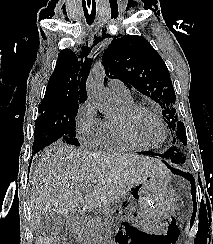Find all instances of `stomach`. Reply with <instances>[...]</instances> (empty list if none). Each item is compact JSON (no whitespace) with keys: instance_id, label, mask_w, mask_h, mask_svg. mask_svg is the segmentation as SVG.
Masks as SVG:
<instances>
[{"instance_id":"1","label":"stomach","mask_w":213,"mask_h":244,"mask_svg":"<svg viewBox=\"0 0 213 244\" xmlns=\"http://www.w3.org/2000/svg\"><path fill=\"white\" fill-rule=\"evenodd\" d=\"M131 191L139 200L143 226L169 218L177 207V194L164 173L153 175L134 186Z\"/></svg>"}]
</instances>
